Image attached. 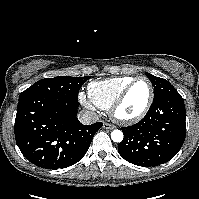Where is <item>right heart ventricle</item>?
Instances as JSON below:
<instances>
[{
    "label": "right heart ventricle",
    "instance_id": "e07e8e85",
    "mask_svg": "<svg viewBox=\"0 0 199 199\" xmlns=\"http://www.w3.org/2000/svg\"><path fill=\"white\" fill-rule=\"evenodd\" d=\"M134 77L123 76L89 83L87 91L90 101L101 109H109L116 98Z\"/></svg>",
    "mask_w": 199,
    "mask_h": 199
}]
</instances>
